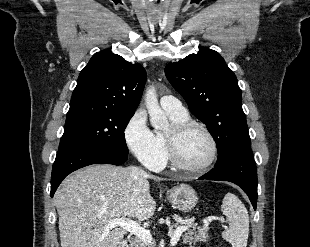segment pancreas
I'll list each match as a JSON object with an SVG mask.
<instances>
[{
	"mask_svg": "<svg viewBox=\"0 0 310 247\" xmlns=\"http://www.w3.org/2000/svg\"><path fill=\"white\" fill-rule=\"evenodd\" d=\"M174 227L177 229L178 227H187V230L185 233L182 235L183 243L184 244H195L197 242L203 241L206 242L209 238L208 235V227H203V228H197L196 231V224L192 222H184L180 224H175ZM130 247H152L149 244L143 242L141 239L138 237H135L131 241Z\"/></svg>",
	"mask_w": 310,
	"mask_h": 247,
	"instance_id": "pancreas-1",
	"label": "pancreas"
}]
</instances>
